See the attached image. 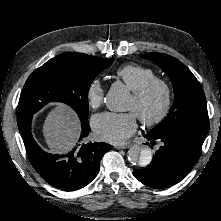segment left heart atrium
Returning <instances> with one entry per match:
<instances>
[{"instance_id":"obj_1","label":"left heart atrium","mask_w":221,"mask_h":221,"mask_svg":"<svg viewBox=\"0 0 221 221\" xmlns=\"http://www.w3.org/2000/svg\"><path fill=\"white\" fill-rule=\"evenodd\" d=\"M97 136L110 143L122 144L137 129V116L133 111L127 113H102L92 120Z\"/></svg>"}]
</instances>
